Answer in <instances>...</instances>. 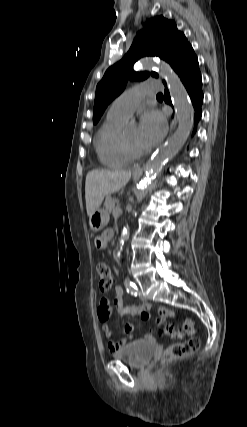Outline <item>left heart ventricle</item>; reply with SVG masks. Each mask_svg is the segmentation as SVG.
<instances>
[{"mask_svg": "<svg viewBox=\"0 0 247 427\" xmlns=\"http://www.w3.org/2000/svg\"><path fill=\"white\" fill-rule=\"evenodd\" d=\"M124 135H125L127 142L129 143V145L133 149L144 150V148L141 146V144L139 142L138 130L137 129L128 130Z\"/></svg>", "mask_w": 247, "mask_h": 427, "instance_id": "b2bd125f", "label": "left heart ventricle"}]
</instances>
